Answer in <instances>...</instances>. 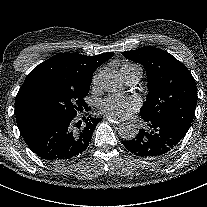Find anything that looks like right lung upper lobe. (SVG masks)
<instances>
[{
  "label": "right lung upper lobe",
  "instance_id": "right-lung-upper-lobe-1",
  "mask_svg": "<svg viewBox=\"0 0 207 207\" xmlns=\"http://www.w3.org/2000/svg\"><path fill=\"white\" fill-rule=\"evenodd\" d=\"M113 55L114 53H103L96 56H84L78 53L57 54L36 66L28 74L18 93L26 86L40 81L63 85L80 92H89L94 71ZM15 114L19 129L33 123L22 117L17 99Z\"/></svg>",
  "mask_w": 207,
  "mask_h": 207
}]
</instances>
